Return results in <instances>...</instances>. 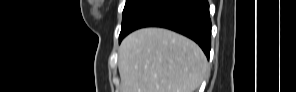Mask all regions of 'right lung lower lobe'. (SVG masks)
Returning a JSON list of instances; mask_svg holds the SVG:
<instances>
[{
    "mask_svg": "<svg viewBox=\"0 0 296 92\" xmlns=\"http://www.w3.org/2000/svg\"><path fill=\"white\" fill-rule=\"evenodd\" d=\"M151 26L167 28L189 37L209 58L211 20L207 0H154L135 20L130 32Z\"/></svg>",
    "mask_w": 296,
    "mask_h": 92,
    "instance_id": "right-lung-lower-lobe-1",
    "label": "right lung lower lobe"
}]
</instances>
